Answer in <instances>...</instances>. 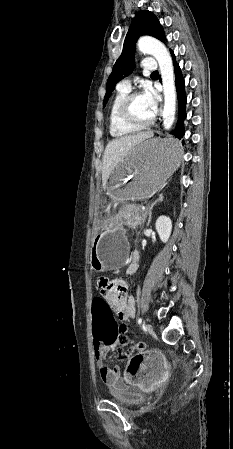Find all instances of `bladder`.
Listing matches in <instances>:
<instances>
[{
	"mask_svg": "<svg viewBox=\"0 0 233 449\" xmlns=\"http://www.w3.org/2000/svg\"><path fill=\"white\" fill-rule=\"evenodd\" d=\"M109 392L113 400L122 406H135L145 401V397L136 392L133 388L117 387L111 389Z\"/></svg>",
	"mask_w": 233,
	"mask_h": 449,
	"instance_id": "31cf9c89",
	"label": "bladder"
}]
</instances>
